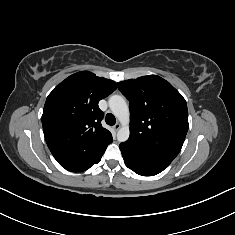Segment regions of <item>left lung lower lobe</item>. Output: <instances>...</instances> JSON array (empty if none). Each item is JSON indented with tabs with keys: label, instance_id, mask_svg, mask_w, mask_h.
I'll use <instances>...</instances> for the list:
<instances>
[{
	"label": "left lung lower lobe",
	"instance_id": "1",
	"mask_svg": "<svg viewBox=\"0 0 235 235\" xmlns=\"http://www.w3.org/2000/svg\"><path fill=\"white\" fill-rule=\"evenodd\" d=\"M126 166L142 176H153L163 171L172 161L142 151L128 144H120Z\"/></svg>",
	"mask_w": 235,
	"mask_h": 235
}]
</instances>
